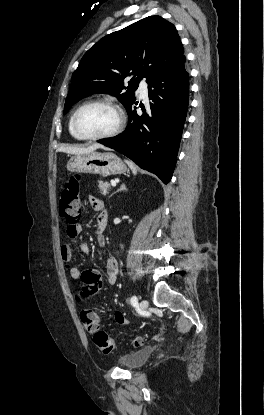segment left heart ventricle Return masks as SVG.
<instances>
[{
  "label": "left heart ventricle",
  "mask_w": 264,
  "mask_h": 415,
  "mask_svg": "<svg viewBox=\"0 0 264 415\" xmlns=\"http://www.w3.org/2000/svg\"><path fill=\"white\" fill-rule=\"evenodd\" d=\"M117 124V113L104 105H93L83 109L78 116V127L87 135L108 133Z\"/></svg>",
  "instance_id": "b2bd125f"
}]
</instances>
